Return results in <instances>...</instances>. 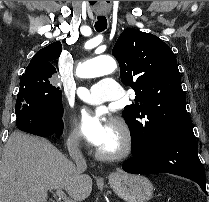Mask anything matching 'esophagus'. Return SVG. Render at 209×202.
I'll return each instance as SVG.
<instances>
[{
    "label": "esophagus",
    "instance_id": "1",
    "mask_svg": "<svg viewBox=\"0 0 209 202\" xmlns=\"http://www.w3.org/2000/svg\"><path fill=\"white\" fill-rule=\"evenodd\" d=\"M114 176H115L114 172L110 173V177H114Z\"/></svg>",
    "mask_w": 209,
    "mask_h": 202
}]
</instances>
